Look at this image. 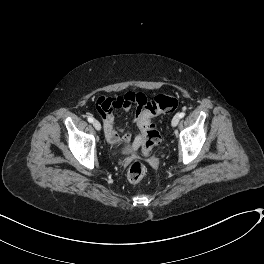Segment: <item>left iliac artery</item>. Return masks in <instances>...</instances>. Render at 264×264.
Instances as JSON below:
<instances>
[{
  "mask_svg": "<svg viewBox=\"0 0 264 264\" xmlns=\"http://www.w3.org/2000/svg\"><path fill=\"white\" fill-rule=\"evenodd\" d=\"M178 116H179L180 118H183V117L185 116V113H184V112H181V113L178 114Z\"/></svg>",
  "mask_w": 264,
  "mask_h": 264,
  "instance_id": "1",
  "label": "left iliac artery"
}]
</instances>
